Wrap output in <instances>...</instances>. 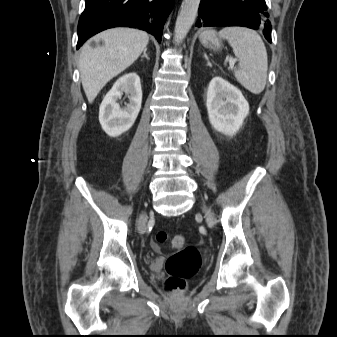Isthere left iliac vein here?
<instances>
[{"label":"left iliac vein","instance_id":"4c4485c4","mask_svg":"<svg viewBox=\"0 0 337 337\" xmlns=\"http://www.w3.org/2000/svg\"><path fill=\"white\" fill-rule=\"evenodd\" d=\"M204 210H205V213H206L207 223H208L209 226L212 227L215 223L214 215H213V213L211 212L210 209L205 207Z\"/></svg>","mask_w":337,"mask_h":337}]
</instances>
